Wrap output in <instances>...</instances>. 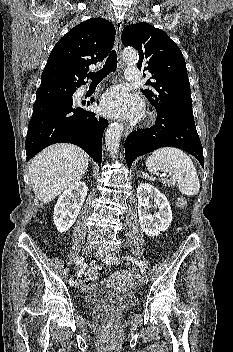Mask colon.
Wrapping results in <instances>:
<instances>
[{
	"label": "colon",
	"mask_w": 233,
	"mask_h": 352,
	"mask_svg": "<svg viewBox=\"0 0 233 352\" xmlns=\"http://www.w3.org/2000/svg\"><path fill=\"white\" fill-rule=\"evenodd\" d=\"M186 202L184 199H180L178 201V206L180 208H183L185 206ZM99 278V268L97 265H89L84 273V281L85 284L89 285L90 283H92L93 281L97 280ZM100 318H103L104 315L102 313L99 314Z\"/></svg>",
	"instance_id": "colon-1"
}]
</instances>
